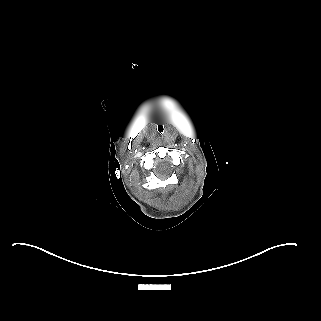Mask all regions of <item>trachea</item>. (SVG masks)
I'll use <instances>...</instances> for the list:
<instances>
[{
	"label": "trachea",
	"mask_w": 321,
	"mask_h": 321,
	"mask_svg": "<svg viewBox=\"0 0 321 321\" xmlns=\"http://www.w3.org/2000/svg\"><path fill=\"white\" fill-rule=\"evenodd\" d=\"M163 122H162V120H157V122H156V130L159 132V133H162L163 131H164V128H163Z\"/></svg>",
	"instance_id": "3493384b"
}]
</instances>
